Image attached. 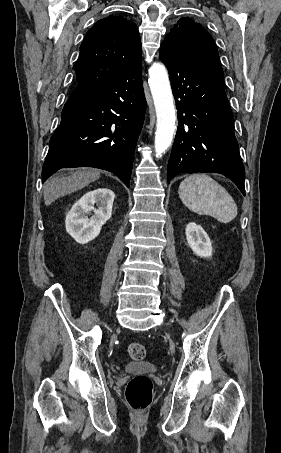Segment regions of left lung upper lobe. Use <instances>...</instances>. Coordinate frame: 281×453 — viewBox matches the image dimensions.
<instances>
[{"label": "left lung upper lobe", "mask_w": 281, "mask_h": 453, "mask_svg": "<svg viewBox=\"0 0 281 453\" xmlns=\"http://www.w3.org/2000/svg\"><path fill=\"white\" fill-rule=\"evenodd\" d=\"M161 47L192 64L221 66L213 38L202 25L190 18L180 19L166 35Z\"/></svg>", "instance_id": "5c2ea615"}]
</instances>
